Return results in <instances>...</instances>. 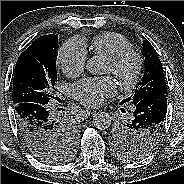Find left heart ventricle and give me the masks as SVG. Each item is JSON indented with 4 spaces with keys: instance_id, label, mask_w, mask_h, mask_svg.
<instances>
[{
    "instance_id": "left-heart-ventricle-1",
    "label": "left heart ventricle",
    "mask_w": 184,
    "mask_h": 184,
    "mask_svg": "<svg viewBox=\"0 0 184 184\" xmlns=\"http://www.w3.org/2000/svg\"><path fill=\"white\" fill-rule=\"evenodd\" d=\"M104 72L105 73H110V67L107 63L105 64Z\"/></svg>"
}]
</instances>
